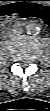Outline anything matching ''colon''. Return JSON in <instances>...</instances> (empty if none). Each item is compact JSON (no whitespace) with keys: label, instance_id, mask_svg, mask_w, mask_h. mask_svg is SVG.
Here are the masks:
<instances>
[{"label":"colon","instance_id":"1","mask_svg":"<svg viewBox=\"0 0 50 111\" xmlns=\"http://www.w3.org/2000/svg\"><path fill=\"white\" fill-rule=\"evenodd\" d=\"M0 15L4 22L19 18H35L48 22L50 21V8L48 5L33 0H19L2 7Z\"/></svg>","mask_w":50,"mask_h":111}]
</instances>
